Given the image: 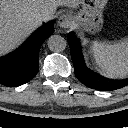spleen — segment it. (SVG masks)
<instances>
[{
	"label": "spleen",
	"mask_w": 128,
	"mask_h": 128,
	"mask_svg": "<svg viewBox=\"0 0 128 128\" xmlns=\"http://www.w3.org/2000/svg\"><path fill=\"white\" fill-rule=\"evenodd\" d=\"M91 52L98 67L110 76L128 75V38L120 43L92 42Z\"/></svg>",
	"instance_id": "obj_1"
}]
</instances>
